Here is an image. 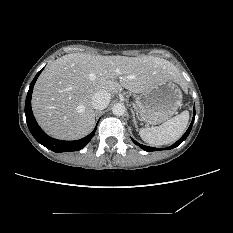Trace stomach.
I'll return each instance as SVG.
<instances>
[{
	"label": "stomach",
	"mask_w": 233,
	"mask_h": 233,
	"mask_svg": "<svg viewBox=\"0 0 233 233\" xmlns=\"http://www.w3.org/2000/svg\"><path fill=\"white\" fill-rule=\"evenodd\" d=\"M182 102V92L175 81L155 86L136 97L139 117L147 124L157 125L171 118Z\"/></svg>",
	"instance_id": "1"
}]
</instances>
